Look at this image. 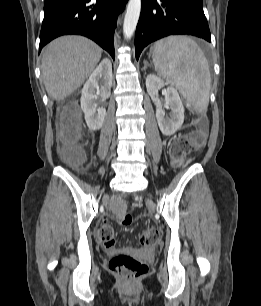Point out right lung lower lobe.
<instances>
[{
    "instance_id": "right-lung-lower-lobe-1",
    "label": "right lung lower lobe",
    "mask_w": 261,
    "mask_h": 306,
    "mask_svg": "<svg viewBox=\"0 0 261 306\" xmlns=\"http://www.w3.org/2000/svg\"><path fill=\"white\" fill-rule=\"evenodd\" d=\"M127 0H45L39 51L54 38L79 34L114 58V30Z\"/></svg>"
}]
</instances>
